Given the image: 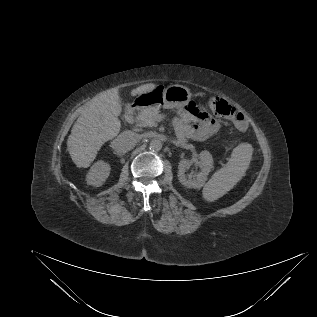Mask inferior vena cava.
Masks as SVG:
<instances>
[{
    "mask_svg": "<svg viewBox=\"0 0 317 317\" xmlns=\"http://www.w3.org/2000/svg\"><path fill=\"white\" fill-rule=\"evenodd\" d=\"M138 137L131 131L121 133L117 138L111 142V147L119 155L131 150L137 143Z\"/></svg>",
    "mask_w": 317,
    "mask_h": 317,
    "instance_id": "inferior-vena-cava-1",
    "label": "inferior vena cava"
}]
</instances>
